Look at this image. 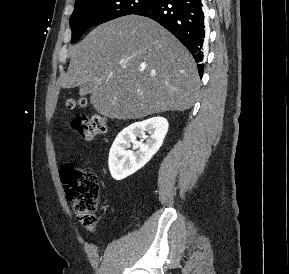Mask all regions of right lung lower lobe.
Wrapping results in <instances>:
<instances>
[{"label": "right lung lower lobe", "instance_id": "1", "mask_svg": "<svg viewBox=\"0 0 289 274\" xmlns=\"http://www.w3.org/2000/svg\"><path fill=\"white\" fill-rule=\"evenodd\" d=\"M135 14L157 21L176 36L193 55L202 77L205 40L203 0H156Z\"/></svg>", "mask_w": 289, "mask_h": 274}]
</instances>
